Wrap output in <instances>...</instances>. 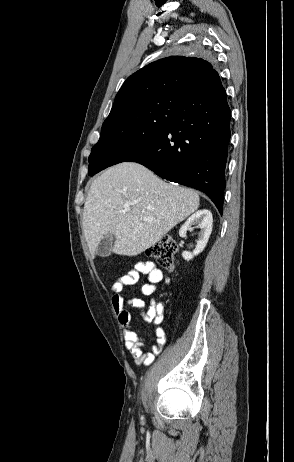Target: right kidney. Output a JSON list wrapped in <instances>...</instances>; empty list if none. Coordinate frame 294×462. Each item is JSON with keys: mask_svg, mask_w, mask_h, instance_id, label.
<instances>
[{"mask_svg": "<svg viewBox=\"0 0 294 462\" xmlns=\"http://www.w3.org/2000/svg\"><path fill=\"white\" fill-rule=\"evenodd\" d=\"M212 223H213L212 213L209 210L203 209V210H198L197 212L192 214V216H190L188 220L184 223V225L180 228L179 235L182 238L186 236L187 230L192 225H197V227L200 228V231L198 234L199 237L197 240V245L194 251L193 252H188V251L182 252V257L186 261L191 260L194 256L198 255L204 250L209 240V237L211 235V232H212Z\"/></svg>", "mask_w": 294, "mask_h": 462, "instance_id": "right-kidney-1", "label": "right kidney"}]
</instances>
